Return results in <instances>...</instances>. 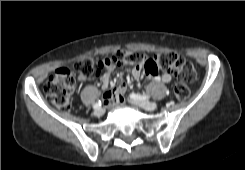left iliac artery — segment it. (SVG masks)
Segmentation results:
<instances>
[{
    "mask_svg": "<svg viewBox=\"0 0 245 170\" xmlns=\"http://www.w3.org/2000/svg\"><path fill=\"white\" fill-rule=\"evenodd\" d=\"M130 96L134 100H142V97L140 95H137V94H134L133 93ZM142 103H144L148 107V109H151L152 108V105L148 101H143L142 100Z\"/></svg>",
    "mask_w": 245,
    "mask_h": 170,
    "instance_id": "44dca946",
    "label": "left iliac artery"
}]
</instances>
